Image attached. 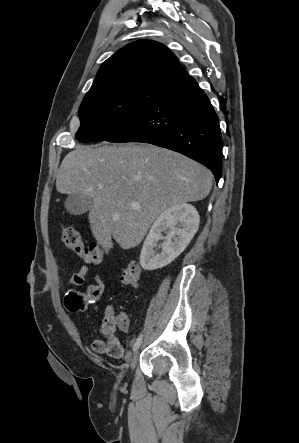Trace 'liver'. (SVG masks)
<instances>
[{
    "mask_svg": "<svg viewBox=\"0 0 299 443\" xmlns=\"http://www.w3.org/2000/svg\"><path fill=\"white\" fill-rule=\"evenodd\" d=\"M212 180L208 168L177 152L144 144H104L69 152L57 172L56 189L92 198L88 218L98 244L110 249L113 238L122 249H130L165 210L203 200Z\"/></svg>",
    "mask_w": 299,
    "mask_h": 443,
    "instance_id": "liver-1",
    "label": "liver"
}]
</instances>
